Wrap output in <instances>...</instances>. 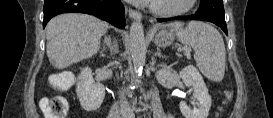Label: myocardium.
I'll list each match as a JSON object with an SVG mask.
<instances>
[{"label": "myocardium", "mask_w": 273, "mask_h": 118, "mask_svg": "<svg viewBox=\"0 0 273 118\" xmlns=\"http://www.w3.org/2000/svg\"><path fill=\"white\" fill-rule=\"evenodd\" d=\"M195 2L196 0H186L182 7L176 8V9L160 8L154 4L151 6V11L155 15H158L161 17H175L190 11Z\"/></svg>", "instance_id": "1"}]
</instances>
